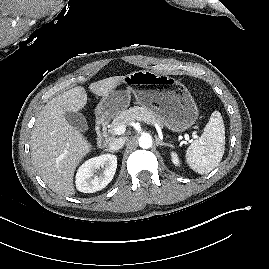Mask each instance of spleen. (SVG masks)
<instances>
[{
  "label": "spleen",
  "mask_w": 269,
  "mask_h": 269,
  "mask_svg": "<svg viewBox=\"0 0 269 269\" xmlns=\"http://www.w3.org/2000/svg\"><path fill=\"white\" fill-rule=\"evenodd\" d=\"M225 150V127L219 111H214L203 134L186 151V161L199 174H207L215 169Z\"/></svg>",
  "instance_id": "obj_1"
}]
</instances>
